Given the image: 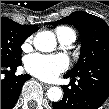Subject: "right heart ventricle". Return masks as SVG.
<instances>
[{"label": "right heart ventricle", "mask_w": 109, "mask_h": 109, "mask_svg": "<svg viewBox=\"0 0 109 109\" xmlns=\"http://www.w3.org/2000/svg\"><path fill=\"white\" fill-rule=\"evenodd\" d=\"M55 33L57 35V38H59V37H61L63 35H66V34H71V35L75 36L74 31L71 28L67 27V26L57 27L56 30H55Z\"/></svg>", "instance_id": "1"}]
</instances>
